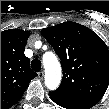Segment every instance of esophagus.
<instances>
[{
  "label": "esophagus",
  "mask_w": 109,
  "mask_h": 109,
  "mask_svg": "<svg viewBox=\"0 0 109 109\" xmlns=\"http://www.w3.org/2000/svg\"><path fill=\"white\" fill-rule=\"evenodd\" d=\"M43 77H44V71H40V72L38 73V78H39V79H43Z\"/></svg>",
  "instance_id": "34e87169"
}]
</instances>
